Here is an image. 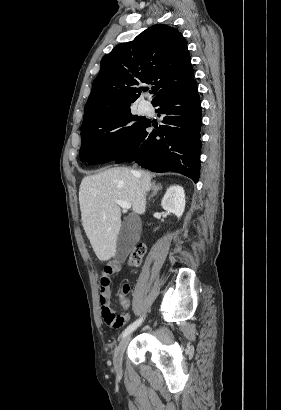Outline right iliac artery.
<instances>
[{
	"label": "right iliac artery",
	"mask_w": 281,
	"mask_h": 410,
	"mask_svg": "<svg viewBox=\"0 0 281 410\" xmlns=\"http://www.w3.org/2000/svg\"><path fill=\"white\" fill-rule=\"evenodd\" d=\"M143 318H140L138 320H136L135 322H133L132 324H130L123 332H122V337H126L128 334H130L133 330H135L140 323L142 322Z\"/></svg>",
	"instance_id": "82829eb1"
}]
</instances>
